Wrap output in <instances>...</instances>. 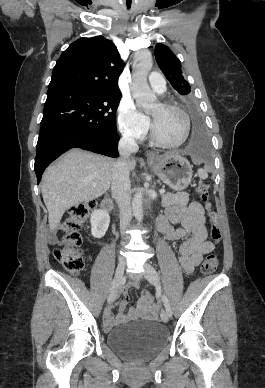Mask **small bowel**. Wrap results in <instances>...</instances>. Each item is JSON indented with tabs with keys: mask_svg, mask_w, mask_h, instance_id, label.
I'll use <instances>...</instances> for the list:
<instances>
[{
	"mask_svg": "<svg viewBox=\"0 0 265 388\" xmlns=\"http://www.w3.org/2000/svg\"><path fill=\"white\" fill-rule=\"evenodd\" d=\"M160 229L166 239L170 241H180L179 263L182 269L191 274L201 263L203 256L214 250V244L207 240L206 220L203 206L196 201L191 202L185 207H171L166 211L165 216L159 219ZM178 224L179 227L173 225ZM55 230L51 233L50 239L55 240ZM188 236V237H187ZM137 282H131L118 291L121 296L119 302L107 306L104 311V327L110 329L120 323L144 317L153 319L156 315V308L153 304H148L140 300L139 308L125 314V308L129 301V290L138 287ZM116 299V298H115ZM115 305L119 306V312L116 316L113 314Z\"/></svg>",
	"mask_w": 265,
	"mask_h": 388,
	"instance_id": "small-bowel-1",
	"label": "small bowel"
}]
</instances>
